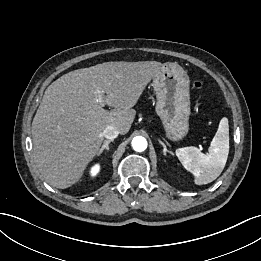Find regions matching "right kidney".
Returning a JSON list of instances; mask_svg holds the SVG:
<instances>
[{"instance_id": "obj_1", "label": "right kidney", "mask_w": 261, "mask_h": 261, "mask_svg": "<svg viewBox=\"0 0 261 261\" xmlns=\"http://www.w3.org/2000/svg\"><path fill=\"white\" fill-rule=\"evenodd\" d=\"M100 170V166L98 164L94 165L91 170H90V174L92 176H95Z\"/></svg>"}]
</instances>
